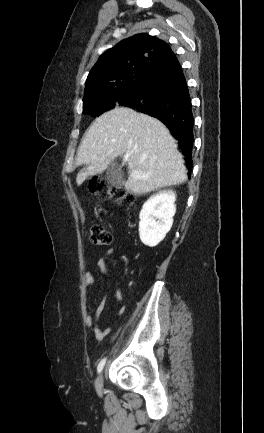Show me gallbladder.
<instances>
[{"label":"gallbladder","mask_w":264,"mask_h":433,"mask_svg":"<svg viewBox=\"0 0 264 433\" xmlns=\"http://www.w3.org/2000/svg\"><path fill=\"white\" fill-rule=\"evenodd\" d=\"M106 178L116 188H121L124 185V180L120 175L119 166L114 162L108 166Z\"/></svg>","instance_id":"bac80fb5"}]
</instances>
